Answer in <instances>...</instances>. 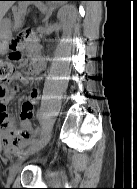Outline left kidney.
I'll return each instance as SVG.
<instances>
[{
  "label": "left kidney",
  "mask_w": 137,
  "mask_h": 189,
  "mask_svg": "<svg viewBox=\"0 0 137 189\" xmlns=\"http://www.w3.org/2000/svg\"><path fill=\"white\" fill-rule=\"evenodd\" d=\"M57 17L61 20L62 27L65 28L73 21L74 11L72 7L64 6L58 11Z\"/></svg>",
  "instance_id": "left-kidney-1"
}]
</instances>
